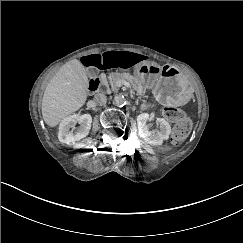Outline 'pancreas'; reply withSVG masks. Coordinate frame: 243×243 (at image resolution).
Here are the masks:
<instances>
[{"mask_svg": "<svg viewBox=\"0 0 243 243\" xmlns=\"http://www.w3.org/2000/svg\"><path fill=\"white\" fill-rule=\"evenodd\" d=\"M125 78L133 83V89L136 91V95L145 96L146 88L142 83H138V80L134 78L133 74L111 73L110 75L104 76V81L107 85H111L113 91H117L121 80Z\"/></svg>", "mask_w": 243, "mask_h": 243, "instance_id": "1", "label": "pancreas"}]
</instances>
